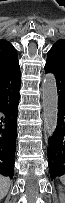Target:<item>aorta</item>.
<instances>
[{
    "label": "aorta",
    "instance_id": "762f6f07",
    "mask_svg": "<svg viewBox=\"0 0 65 203\" xmlns=\"http://www.w3.org/2000/svg\"><path fill=\"white\" fill-rule=\"evenodd\" d=\"M41 91L44 131L47 138H49L53 136L58 121V92L56 77L53 73H47L44 75Z\"/></svg>",
    "mask_w": 65,
    "mask_h": 203
}]
</instances>
